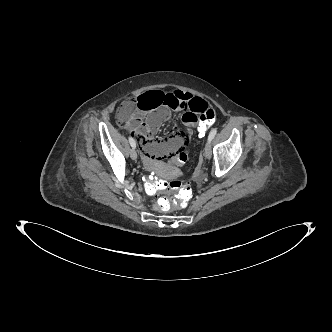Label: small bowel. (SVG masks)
<instances>
[{"label": "small bowel", "instance_id": "obj_1", "mask_svg": "<svg viewBox=\"0 0 332 332\" xmlns=\"http://www.w3.org/2000/svg\"><path fill=\"white\" fill-rule=\"evenodd\" d=\"M135 110L127 117L119 112L120 120L136 137L143 151V161L147 166L168 154L181 151L191 139L190 128L196 127L199 115L209 107L208 103L189 92L175 90L167 92L162 88H147L135 101ZM172 111H183L182 121L187 131L166 140H156L155 135ZM197 128V127H196Z\"/></svg>", "mask_w": 332, "mask_h": 332}]
</instances>
